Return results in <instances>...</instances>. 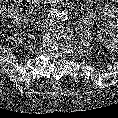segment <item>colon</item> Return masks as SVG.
I'll return each mask as SVG.
<instances>
[{"mask_svg":"<svg viewBox=\"0 0 118 118\" xmlns=\"http://www.w3.org/2000/svg\"><path fill=\"white\" fill-rule=\"evenodd\" d=\"M30 9L31 0H0V15L6 18L24 15Z\"/></svg>","mask_w":118,"mask_h":118,"instance_id":"colon-1","label":"colon"}]
</instances>
